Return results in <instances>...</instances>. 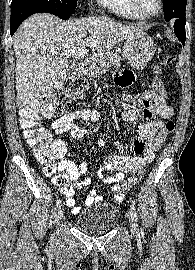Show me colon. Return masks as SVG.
<instances>
[{
  "label": "colon",
  "mask_w": 195,
  "mask_h": 270,
  "mask_svg": "<svg viewBox=\"0 0 195 270\" xmlns=\"http://www.w3.org/2000/svg\"><path fill=\"white\" fill-rule=\"evenodd\" d=\"M175 61L173 55L166 56L161 64L156 67V74H159L162 67H170ZM150 101L161 104L167 98V91L164 82L156 76L152 82ZM86 88V82L81 77L68 79L63 84L54 87L39 99L24 107L20 112V125L23 135L30 148L33 149L38 162L42 165L47 175L53 176V183L59 187H66L69 181L68 176L61 168V158L65 152V145L62 141L53 139L40 125L42 118L60 116L72 100L79 97ZM175 128V123L168 120L164 125V134L167 136ZM143 170L140 169L131 176L120 187L119 191H127L138 183Z\"/></svg>",
  "instance_id": "obj_1"
}]
</instances>
